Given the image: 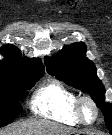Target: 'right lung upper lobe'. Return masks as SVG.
Returning a JSON list of instances; mask_svg holds the SVG:
<instances>
[{"mask_svg":"<svg viewBox=\"0 0 112 135\" xmlns=\"http://www.w3.org/2000/svg\"><path fill=\"white\" fill-rule=\"evenodd\" d=\"M1 53L5 58L0 61V78L20 75L34 79L44 73L40 59L22 58L21 51L13 45L3 46Z\"/></svg>","mask_w":112,"mask_h":135,"instance_id":"cb5924a9","label":"right lung upper lobe"}]
</instances>
